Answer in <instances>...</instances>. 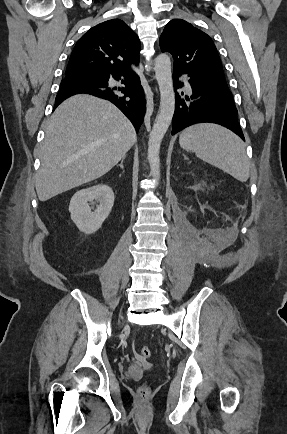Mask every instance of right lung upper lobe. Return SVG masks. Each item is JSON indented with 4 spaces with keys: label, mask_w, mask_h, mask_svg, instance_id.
Returning <instances> with one entry per match:
<instances>
[{
    "label": "right lung upper lobe",
    "mask_w": 287,
    "mask_h": 434,
    "mask_svg": "<svg viewBox=\"0 0 287 434\" xmlns=\"http://www.w3.org/2000/svg\"><path fill=\"white\" fill-rule=\"evenodd\" d=\"M138 36L122 20L112 19L92 27L76 43L64 80L73 76L98 75L129 70L139 62Z\"/></svg>",
    "instance_id": "right-lung-upper-lobe-1"
}]
</instances>
